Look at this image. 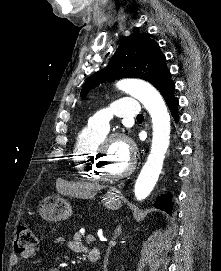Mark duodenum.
Here are the masks:
<instances>
[{
	"label": "duodenum",
	"mask_w": 221,
	"mask_h": 271,
	"mask_svg": "<svg viewBox=\"0 0 221 271\" xmlns=\"http://www.w3.org/2000/svg\"><path fill=\"white\" fill-rule=\"evenodd\" d=\"M100 258V253L98 250L94 249L92 250L88 255V260L91 263H96Z\"/></svg>",
	"instance_id": "obj_1"
}]
</instances>
